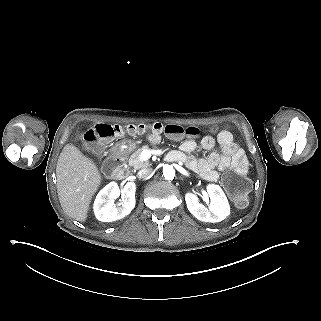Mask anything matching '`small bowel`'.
<instances>
[{
  "mask_svg": "<svg viewBox=\"0 0 321 321\" xmlns=\"http://www.w3.org/2000/svg\"><path fill=\"white\" fill-rule=\"evenodd\" d=\"M151 141H156L157 136L151 134ZM216 142L219 144L220 151L210 153L204 158H195L190 154L197 149L194 140H185L180 151L173 152L177 155L178 161L183 162L190 170L198 173L204 180L214 182L219 179V171L232 168L236 171L246 172L248 160L244 151L234 141L233 135L229 131H221L217 138L207 135L201 140V146L205 150L214 148Z\"/></svg>",
  "mask_w": 321,
  "mask_h": 321,
  "instance_id": "1",
  "label": "small bowel"
}]
</instances>
